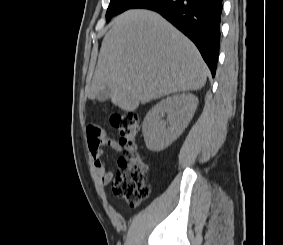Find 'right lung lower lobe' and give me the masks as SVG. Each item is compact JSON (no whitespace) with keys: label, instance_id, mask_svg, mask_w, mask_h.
Returning a JSON list of instances; mask_svg holds the SVG:
<instances>
[{"label":"right lung lower lobe","instance_id":"98d812e1","mask_svg":"<svg viewBox=\"0 0 283 245\" xmlns=\"http://www.w3.org/2000/svg\"><path fill=\"white\" fill-rule=\"evenodd\" d=\"M223 0H140L132 8L158 12L198 47L215 76Z\"/></svg>","mask_w":283,"mask_h":245}]
</instances>
